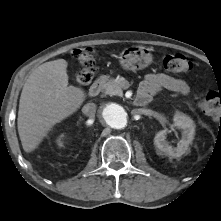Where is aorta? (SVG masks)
<instances>
[{"instance_id": "1", "label": "aorta", "mask_w": 221, "mask_h": 221, "mask_svg": "<svg viewBox=\"0 0 221 221\" xmlns=\"http://www.w3.org/2000/svg\"><path fill=\"white\" fill-rule=\"evenodd\" d=\"M127 117L126 110L116 103H109L102 110L104 122L115 129H123L126 127Z\"/></svg>"}]
</instances>
